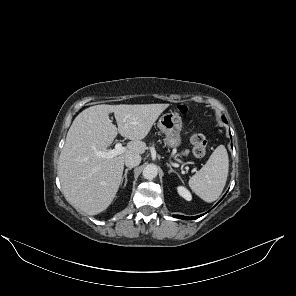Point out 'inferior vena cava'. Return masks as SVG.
<instances>
[{
    "label": "inferior vena cava",
    "mask_w": 296,
    "mask_h": 296,
    "mask_svg": "<svg viewBox=\"0 0 296 296\" xmlns=\"http://www.w3.org/2000/svg\"><path fill=\"white\" fill-rule=\"evenodd\" d=\"M141 162V156L139 154H130L125 158V165L129 168L138 166Z\"/></svg>",
    "instance_id": "602c4592"
}]
</instances>
